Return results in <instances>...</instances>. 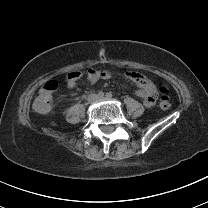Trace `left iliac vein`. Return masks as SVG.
<instances>
[{
  "instance_id": "left-iliac-vein-1",
  "label": "left iliac vein",
  "mask_w": 208,
  "mask_h": 208,
  "mask_svg": "<svg viewBox=\"0 0 208 208\" xmlns=\"http://www.w3.org/2000/svg\"><path fill=\"white\" fill-rule=\"evenodd\" d=\"M98 99H99V100H103V99H104V97H99Z\"/></svg>"
}]
</instances>
